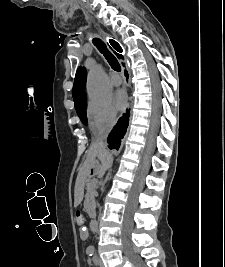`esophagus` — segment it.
<instances>
[{
    "instance_id": "obj_1",
    "label": "esophagus",
    "mask_w": 225,
    "mask_h": 267,
    "mask_svg": "<svg viewBox=\"0 0 225 267\" xmlns=\"http://www.w3.org/2000/svg\"><path fill=\"white\" fill-rule=\"evenodd\" d=\"M110 40H112V38L106 37V41L111 45V41ZM123 69H125V67H123Z\"/></svg>"
}]
</instances>
